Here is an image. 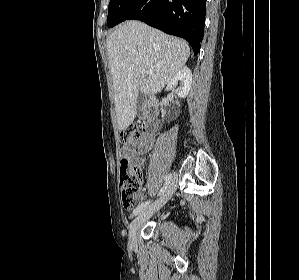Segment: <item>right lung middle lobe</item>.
I'll return each mask as SVG.
<instances>
[{
	"mask_svg": "<svg viewBox=\"0 0 299 280\" xmlns=\"http://www.w3.org/2000/svg\"><path fill=\"white\" fill-rule=\"evenodd\" d=\"M133 1L134 0H110L107 18L108 27H113L118 24L119 17Z\"/></svg>",
	"mask_w": 299,
	"mask_h": 280,
	"instance_id": "dd1d6c3e",
	"label": "right lung middle lobe"
}]
</instances>
